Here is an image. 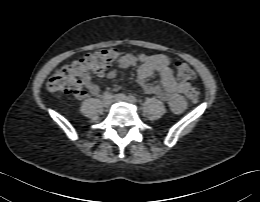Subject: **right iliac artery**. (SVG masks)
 Wrapping results in <instances>:
<instances>
[{
  "mask_svg": "<svg viewBox=\"0 0 260 202\" xmlns=\"http://www.w3.org/2000/svg\"><path fill=\"white\" fill-rule=\"evenodd\" d=\"M104 97H107V98H112V94H111V93H109V92H106V93L104 94Z\"/></svg>",
  "mask_w": 260,
  "mask_h": 202,
  "instance_id": "82829eb1",
  "label": "right iliac artery"
}]
</instances>
